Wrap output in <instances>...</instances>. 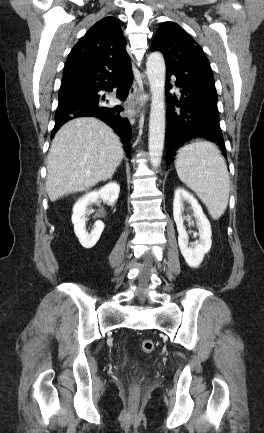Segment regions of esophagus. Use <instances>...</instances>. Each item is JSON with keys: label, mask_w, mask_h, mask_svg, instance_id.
<instances>
[{"label": "esophagus", "mask_w": 264, "mask_h": 433, "mask_svg": "<svg viewBox=\"0 0 264 433\" xmlns=\"http://www.w3.org/2000/svg\"><path fill=\"white\" fill-rule=\"evenodd\" d=\"M142 93L138 85L134 82L128 94L125 110L131 123H134L135 118H138L141 112Z\"/></svg>", "instance_id": "34e87169"}]
</instances>
